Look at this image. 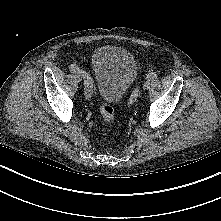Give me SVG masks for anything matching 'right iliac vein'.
<instances>
[{
  "instance_id": "obj_1",
  "label": "right iliac vein",
  "mask_w": 221,
  "mask_h": 221,
  "mask_svg": "<svg viewBox=\"0 0 221 221\" xmlns=\"http://www.w3.org/2000/svg\"><path fill=\"white\" fill-rule=\"evenodd\" d=\"M75 78L78 82H81L82 81V76L80 75V73H76L75 74Z\"/></svg>"
}]
</instances>
